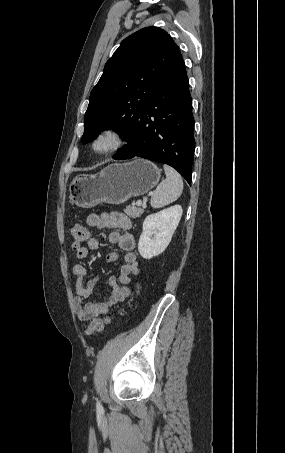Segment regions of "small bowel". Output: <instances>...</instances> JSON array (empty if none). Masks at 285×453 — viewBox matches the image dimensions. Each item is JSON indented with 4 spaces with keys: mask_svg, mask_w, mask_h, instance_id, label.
<instances>
[{
    "mask_svg": "<svg viewBox=\"0 0 285 453\" xmlns=\"http://www.w3.org/2000/svg\"><path fill=\"white\" fill-rule=\"evenodd\" d=\"M86 223L90 227L98 229H111L108 240L116 244L121 250V254L115 251L107 253V262L113 263L120 258L124 261L120 269L119 277L110 276L108 278L109 290L106 292L102 301L84 302L94 291L98 278H87V269L82 264L73 266L75 281L74 309L80 321H87L107 313L117 303L123 302L137 294L140 285L131 286L132 276H137L140 272L135 249V238L129 233L132 227L131 220L123 213L112 212L102 214H90ZM99 241L95 237H88L87 246L77 251L79 259L88 256L89 251L97 250Z\"/></svg>",
    "mask_w": 285,
    "mask_h": 453,
    "instance_id": "small-bowel-1",
    "label": "small bowel"
}]
</instances>
